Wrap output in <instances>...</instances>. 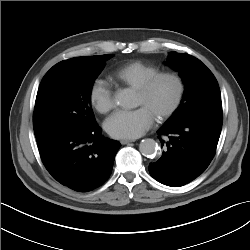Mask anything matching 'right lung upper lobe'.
Wrapping results in <instances>:
<instances>
[{"label": "right lung upper lobe", "instance_id": "obj_1", "mask_svg": "<svg viewBox=\"0 0 250 250\" xmlns=\"http://www.w3.org/2000/svg\"><path fill=\"white\" fill-rule=\"evenodd\" d=\"M93 56H86V57H76L69 60H64L53 66L50 70H55L59 67L71 65V64H83L88 62Z\"/></svg>", "mask_w": 250, "mask_h": 250}]
</instances>
